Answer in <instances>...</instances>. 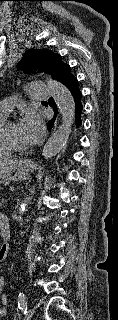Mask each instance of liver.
Here are the masks:
<instances>
[{
	"mask_svg": "<svg viewBox=\"0 0 118 320\" xmlns=\"http://www.w3.org/2000/svg\"><path fill=\"white\" fill-rule=\"evenodd\" d=\"M16 160H0V167L2 166H5V165H8V164H11V163H14Z\"/></svg>",
	"mask_w": 118,
	"mask_h": 320,
	"instance_id": "6515ba94",
	"label": "liver"
}]
</instances>
